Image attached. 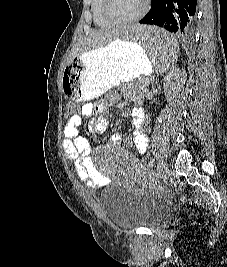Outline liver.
Instances as JSON below:
<instances>
[{"label": "liver", "mask_w": 227, "mask_h": 267, "mask_svg": "<svg viewBox=\"0 0 227 267\" xmlns=\"http://www.w3.org/2000/svg\"><path fill=\"white\" fill-rule=\"evenodd\" d=\"M122 33H128V30H118L116 28L93 30L89 35L82 38L73 48L68 62L74 57L100 47L121 38Z\"/></svg>", "instance_id": "liver-1"}]
</instances>
